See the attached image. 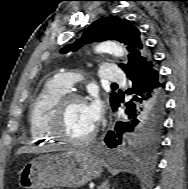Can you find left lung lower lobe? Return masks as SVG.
Returning <instances> with one entry per match:
<instances>
[{"instance_id": "obj_1", "label": "left lung lower lobe", "mask_w": 188, "mask_h": 189, "mask_svg": "<svg viewBox=\"0 0 188 189\" xmlns=\"http://www.w3.org/2000/svg\"><path fill=\"white\" fill-rule=\"evenodd\" d=\"M131 87L126 91L132 99L125 104L128 121L117 122L114 131L105 137L108 147H117L122 143V134L127 141L136 129L144 130L162 125L165 110V84L162 83L158 70L152 60H147L128 69L126 72ZM120 101L112 106L116 110Z\"/></svg>"}]
</instances>
